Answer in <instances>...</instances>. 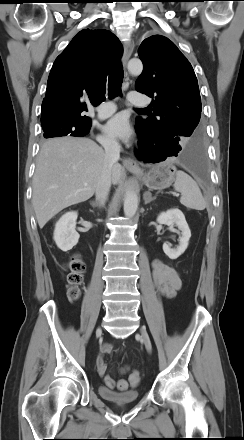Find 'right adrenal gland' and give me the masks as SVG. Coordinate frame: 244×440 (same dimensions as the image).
Segmentation results:
<instances>
[{"mask_svg":"<svg viewBox=\"0 0 244 440\" xmlns=\"http://www.w3.org/2000/svg\"><path fill=\"white\" fill-rule=\"evenodd\" d=\"M91 205H92V207H94V208H95V207H98L97 202H94V201L91 202Z\"/></svg>","mask_w":244,"mask_h":440,"instance_id":"obj_1","label":"right adrenal gland"}]
</instances>
